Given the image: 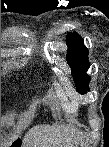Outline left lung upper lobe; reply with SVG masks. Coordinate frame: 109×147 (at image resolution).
Here are the masks:
<instances>
[{"mask_svg":"<svg viewBox=\"0 0 109 147\" xmlns=\"http://www.w3.org/2000/svg\"><path fill=\"white\" fill-rule=\"evenodd\" d=\"M67 62L72 69L76 89L79 93L85 94L88 91L89 76L85 73L89 68L88 50L83 39L77 33H70L67 36Z\"/></svg>","mask_w":109,"mask_h":147,"instance_id":"1","label":"left lung upper lobe"}]
</instances>
